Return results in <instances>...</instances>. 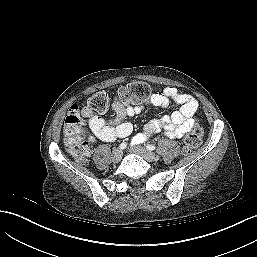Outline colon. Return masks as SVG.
Masks as SVG:
<instances>
[{
  "label": "colon",
  "instance_id": "colon-1",
  "mask_svg": "<svg viewBox=\"0 0 257 257\" xmlns=\"http://www.w3.org/2000/svg\"><path fill=\"white\" fill-rule=\"evenodd\" d=\"M152 95L150 85L144 82L136 81L129 83L118 90L117 98L123 104L141 103ZM111 95L105 90H99L91 95L86 102L87 110L104 114L109 110ZM83 120L79 107L73 105L65 118L64 132L65 143L68 152L74 159L83 162L89 156V148L84 139V130L81 122ZM203 129L199 124H195L186 135L183 143V152L190 153L196 149L202 142Z\"/></svg>",
  "mask_w": 257,
  "mask_h": 257
}]
</instances>
